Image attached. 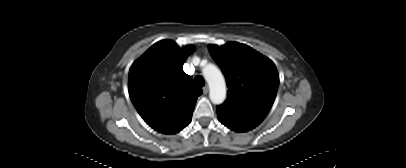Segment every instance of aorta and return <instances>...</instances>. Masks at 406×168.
Masks as SVG:
<instances>
[{
    "mask_svg": "<svg viewBox=\"0 0 406 168\" xmlns=\"http://www.w3.org/2000/svg\"><path fill=\"white\" fill-rule=\"evenodd\" d=\"M203 75L209 85V97L213 104H221L226 98V83L221 71L213 64H207L203 70Z\"/></svg>",
    "mask_w": 406,
    "mask_h": 168,
    "instance_id": "762f6f07",
    "label": "aorta"
}]
</instances>
